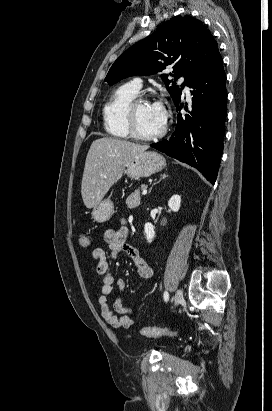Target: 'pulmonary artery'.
Listing matches in <instances>:
<instances>
[{
    "instance_id": "pulmonary-artery-1",
    "label": "pulmonary artery",
    "mask_w": 272,
    "mask_h": 411,
    "mask_svg": "<svg viewBox=\"0 0 272 411\" xmlns=\"http://www.w3.org/2000/svg\"><path fill=\"white\" fill-rule=\"evenodd\" d=\"M130 84L137 91H139L142 88V83L138 78L134 79ZM185 93L187 96H190V89L188 87H185Z\"/></svg>"
}]
</instances>
